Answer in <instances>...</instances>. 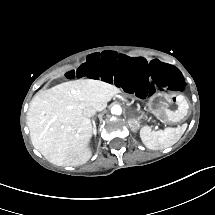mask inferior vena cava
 Here are the masks:
<instances>
[{
  "instance_id": "1",
  "label": "inferior vena cava",
  "mask_w": 215,
  "mask_h": 215,
  "mask_svg": "<svg viewBox=\"0 0 215 215\" xmlns=\"http://www.w3.org/2000/svg\"><path fill=\"white\" fill-rule=\"evenodd\" d=\"M95 113H96V109L93 108V107H91V106L85 107V108L83 109V114H84V116H86V117H92V116L95 115Z\"/></svg>"
}]
</instances>
